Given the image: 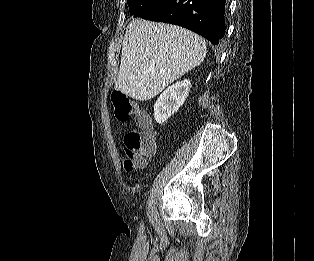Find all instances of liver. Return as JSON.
Masks as SVG:
<instances>
[{
  "instance_id": "liver-1",
  "label": "liver",
  "mask_w": 314,
  "mask_h": 261,
  "mask_svg": "<svg viewBox=\"0 0 314 261\" xmlns=\"http://www.w3.org/2000/svg\"><path fill=\"white\" fill-rule=\"evenodd\" d=\"M205 40L176 25L132 19L126 27L115 89L138 101L158 95L199 66Z\"/></svg>"
}]
</instances>
